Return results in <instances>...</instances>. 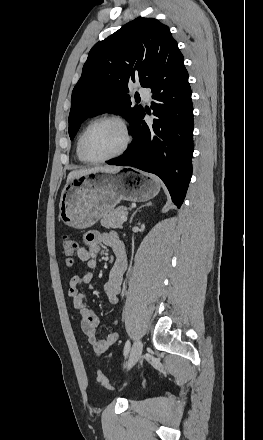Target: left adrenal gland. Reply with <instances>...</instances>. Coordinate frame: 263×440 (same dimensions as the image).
Returning <instances> with one entry per match:
<instances>
[{"label": "left adrenal gland", "instance_id": "a2214340", "mask_svg": "<svg viewBox=\"0 0 263 440\" xmlns=\"http://www.w3.org/2000/svg\"><path fill=\"white\" fill-rule=\"evenodd\" d=\"M151 205H152V203L149 202V203H147V204H145V205H142V206H140L139 208H137L136 211L132 214V216H131V218H130V223H132L133 217L135 216V214L137 213V211H140V209L143 208V207L151 206Z\"/></svg>", "mask_w": 263, "mask_h": 440}]
</instances>
